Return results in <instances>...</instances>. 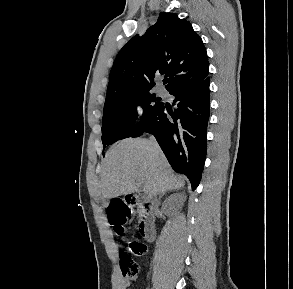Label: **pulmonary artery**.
<instances>
[{"instance_id": "obj_1", "label": "pulmonary artery", "mask_w": 293, "mask_h": 289, "mask_svg": "<svg viewBox=\"0 0 293 289\" xmlns=\"http://www.w3.org/2000/svg\"><path fill=\"white\" fill-rule=\"evenodd\" d=\"M157 92H158L160 95H164V90H163L162 87H158Z\"/></svg>"}]
</instances>
